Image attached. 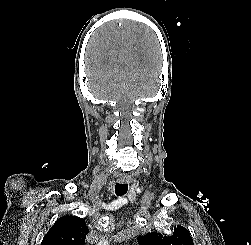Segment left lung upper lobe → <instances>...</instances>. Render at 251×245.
Masks as SVG:
<instances>
[{
	"label": "left lung upper lobe",
	"instance_id": "left-lung-upper-lobe-1",
	"mask_svg": "<svg viewBox=\"0 0 251 245\" xmlns=\"http://www.w3.org/2000/svg\"><path fill=\"white\" fill-rule=\"evenodd\" d=\"M139 245H194L189 231L177 226L171 236L156 232L148 233L138 237Z\"/></svg>",
	"mask_w": 251,
	"mask_h": 245
}]
</instances>
